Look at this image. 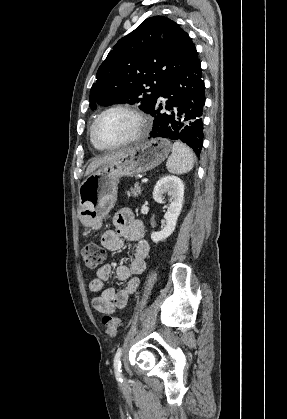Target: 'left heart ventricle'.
<instances>
[{
  "label": "left heart ventricle",
  "mask_w": 287,
  "mask_h": 419,
  "mask_svg": "<svg viewBox=\"0 0 287 419\" xmlns=\"http://www.w3.org/2000/svg\"><path fill=\"white\" fill-rule=\"evenodd\" d=\"M139 128L137 119L126 111H112L98 122L95 133L102 143L115 144L131 138Z\"/></svg>",
  "instance_id": "obj_1"
}]
</instances>
